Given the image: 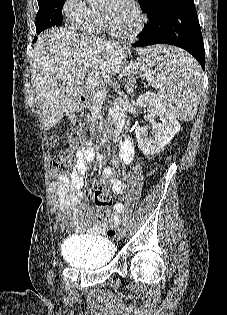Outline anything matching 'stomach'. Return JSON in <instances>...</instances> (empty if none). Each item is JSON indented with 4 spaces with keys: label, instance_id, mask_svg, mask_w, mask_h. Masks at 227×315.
<instances>
[{
    "label": "stomach",
    "instance_id": "obj_1",
    "mask_svg": "<svg viewBox=\"0 0 227 315\" xmlns=\"http://www.w3.org/2000/svg\"><path fill=\"white\" fill-rule=\"evenodd\" d=\"M119 67V64L118 65H116V69ZM99 73H102V70H99ZM99 73L97 72V71H94L93 73H92V76L94 77V78H97L98 76H99ZM86 89H87V87H85ZM87 91V90H86Z\"/></svg>",
    "mask_w": 227,
    "mask_h": 315
}]
</instances>
